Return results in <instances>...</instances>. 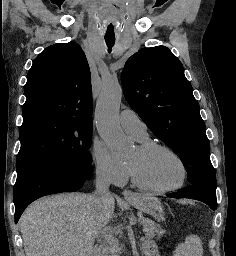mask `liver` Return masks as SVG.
Masks as SVG:
<instances>
[{
    "mask_svg": "<svg viewBox=\"0 0 236 256\" xmlns=\"http://www.w3.org/2000/svg\"><path fill=\"white\" fill-rule=\"evenodd\" d=\"M115 200L100 208L87 194L40 198L26 208L20 228L26 256H91L95 238L110 222Z\"/></svg>",
    "mask_w": 236,
    "mask_h": 256,
    "instance_id": "6515ba94",
    "label": "liver"
}]
</instances>
